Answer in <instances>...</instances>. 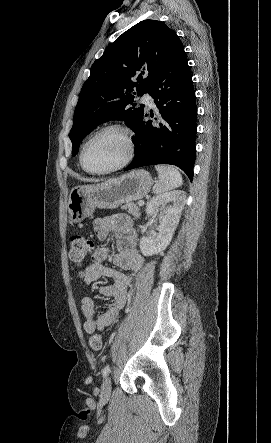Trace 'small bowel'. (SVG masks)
Returning a JSON list of instances; mask_svg holds the SVG:
<instances>
[{
    "label": "small bowel",
    "mask_w": 271,
    "mask_h": 443,
    "mask_svg": "<svg viewBox=\"0 0 271 443\" xmlns=\"http://www.w3.org/2000/svg\"><path fill=\"white\" fill-rule=\"evenodd\" d=\"M94 230L100 240L114 238L117 253L114 264L121 270L104 265L109 257V249L98 247L85 268L84 281L89 284L102 278L112 280V284L98 287L101 295L111 299V303L102 314L94 319L95 304L92 298L84 297L80 301V310L85 318L83 327L88 334L96 330H104L111 325L123 309L131 276L127 272H137L143 265V258L136 249V232L131 219L126 215H114L99 218L94 223Z\"/></svg>",
    "instance_id": "1"
}]
</instances>
